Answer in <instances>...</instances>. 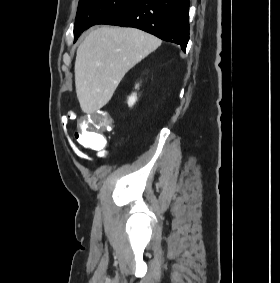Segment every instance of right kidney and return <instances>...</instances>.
<instances>
[{"label": "right kidney", "mask_w": 280, "mask_h": 283, "mask_svg": "<svg viewBox=\"0 0 280 283\" xmlns=\"http://www.w3.org/2000/svg\"><path fill=\"white\" fill-rule=\"evenodd\" d=\"M136 88H138V85H136ZM136 100H137V95H136V93H133L129 98H128V105H129V107H132L134 104H135V102H136Z\"/></svg>", "instance_id": "ca27d5eb"}]
</instances>
